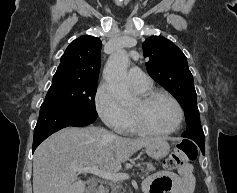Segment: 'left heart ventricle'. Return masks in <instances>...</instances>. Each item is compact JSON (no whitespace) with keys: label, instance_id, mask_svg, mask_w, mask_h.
I'll return each mask as SVG.
<instances>
[{"label":"left heart ventricle","instance_id":"left-heart-ventricle-1","mask_svg":"<svg viewBox=\"0 0 237 193\" xmlns=\"http://www.w3.org/2000/svg\"><path fill=\"white\" fill-rule=\"evenodd\" d=\"M130 110L137 115L144 126L156 131L169 130L178 121V111L166 97H157L147 105H142L137 99Z\"/></svg>","mask_w":237,"mask_h":193}]
</instances>
